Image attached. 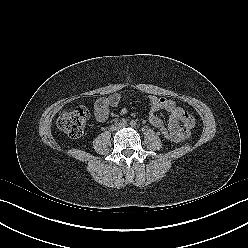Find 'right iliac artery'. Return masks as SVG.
Listing matches in <instances>:
<instances>
[{
  "label": "right iliac artery",
  "mask_w": 248,
  "mask_h": 248,
  "mask_svg": "<svg viewBox=\"0 0 248 248\" xmlns=\"http://www.w3.org/2000/svg\"><path fill=\"white\" fill-rule=\"evenodd\" d=\"M120 123H121V124H126V123H127V120H126L125 118H122V119L120 120Z\"/></svg>",
  "instance_id": "82829eb1"
}]
</instances>
